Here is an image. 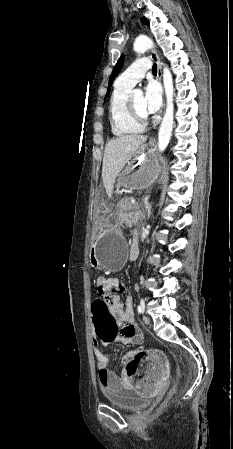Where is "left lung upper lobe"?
<instances>
[{"instance_id":"5c2ea615","label":"left lung upper lobe","mask_w":233,"mask_h":449,"mask_svg":"<svg viewBox=\"0 0 233 449\" xmlns=\"http://www.w3.org/2000/svg\"><path fill=\"white\" fill-rule=\"evenodd\" d=\"M141 21H142V23H144L146 25H149V21L145 17H142ZM123 63H124V56L120 57V59L118 60L117 64L114 66V69L112 71V74H111V77H110V80H109V85H108V90H107L106 97L109 95L112 82L114 81L116 76L119 74L120 70L122 69Z\"/></svg>"}]
</instances>
